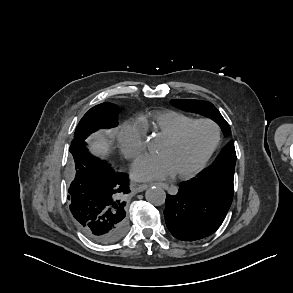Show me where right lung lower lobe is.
I'll list each match as a JSON object with an SVG mask.
<instances>
[{"label":"right lung lower lobe","mask_w":293,"mask_h":293,"mask_svg":"<svg viewBox=\"0 0 293 293\" xmlns=\"http://www.w3.org/2000/svg\"><path fill=\"white\" fill-rule=\"evenodd\" d=\"M70 152L75 172L69 187L70 210L81 231L101 244L119 241L127 232L124 201L129 192L127 174L91 156L84 140L74 139Z\"/></svg>","instance_id":"98d812e1"}]
</instances>
